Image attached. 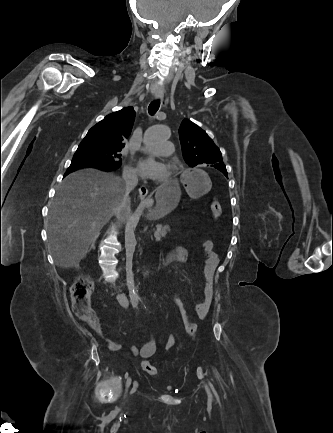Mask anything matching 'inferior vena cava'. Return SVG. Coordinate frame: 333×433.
Here are the masks:
<instances>
[{
    "label": "inferior vena cava",
    "instance_id": "602c4592",
    "mask_svg": "<svg viewBox=\"0 0 333 433\" xmlns=\"http://www.w3.org/2000/svg\"><path fill=\"white\" fill-rule=\"evenodd\" d=\"M122 179L125 184V198L128 197L131 190H133L138 184L137 175L130 171H124Z\"/></svg>",
    "mask_w": 333,
    "mask_h": 433
}]
</instances>
